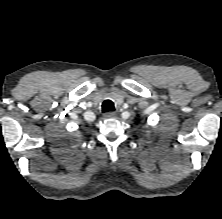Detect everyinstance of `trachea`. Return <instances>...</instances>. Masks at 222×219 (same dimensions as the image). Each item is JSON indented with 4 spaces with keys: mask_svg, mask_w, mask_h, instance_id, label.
Wrapping results in <instances>:
<instances>
[{
    "mask_svg": "<svg viewBox=\"0 0 222 219\" xmlns=\"http://www.w3.org/2000/svg\"><path fill=\"white\" fill-rule=\"evenodd\" d=\"M114 103L111 100H106L102 104V111L103 112H108V111H114Z\"/></svg>",
    "mask_w": 222,
    "mask_h": 219,
    "instance_id": "1",
    "label": "trachea"
}]
</instances>
